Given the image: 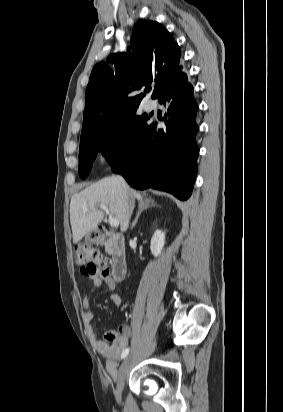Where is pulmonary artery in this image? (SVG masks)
Returning <instances> with one entry per match:
<instances>
[{"instance_id":"1","label":"pulmonary artery","mask_w":283,"mask_h":412,"mask_svg":"<svg viewBox=\"0 0 283 412\" xmlns=\"http://www.w3.org/2000/svg\"><path fill=\"white\" fill-rule=\"evenodd\" d=\"M152 108L151 107H147V110H151Z\"/></svg>"}]
</instances>
